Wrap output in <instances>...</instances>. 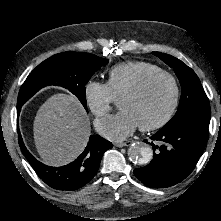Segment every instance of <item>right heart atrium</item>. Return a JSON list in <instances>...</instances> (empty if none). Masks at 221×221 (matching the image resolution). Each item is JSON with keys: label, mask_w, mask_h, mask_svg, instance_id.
<instances>
[{"label": "right heart atrium", "mask_w": 221, "mask_h": 221, "mask_svg": "<svg viewBox=\"0 0 221 221\" xmlns=\"http://www.w3.org/2000/svg\"><path fill=\"white\" fill-rule=\"evenodd\" d=\"M85 101L96 118L104 117L112 108L115 97L107 83L89 79L83 88Z\"/></svg>", "instance_id": "right-heart-atrium-1"}]
</instances>
